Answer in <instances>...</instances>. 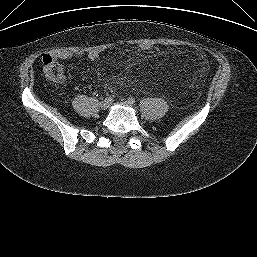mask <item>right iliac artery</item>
Returning a JSON list of instances; mask_svg holds the SVG:
<instances>
[{
    "label": "right iliac artery",
    "instance_id": "obj_1",
    "mask_svg": "<svg viewBox=\"0 0 257 257\" xmlns=\"http://www.w3.org/2000/svg\"><path fill=\"white\" fill-rule=\"evenodd\" d=\"M104 101L107 103H112L114 100L111 96H109V97H106Z\"/></svg>",
    "mask_w": 257,
    "mask_h": 257
}]
</instances>
